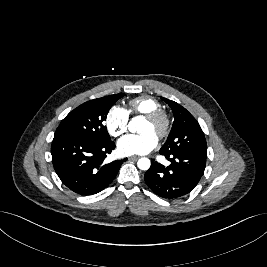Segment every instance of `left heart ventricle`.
<instances>
[{"instance_id":"left-heart-ventricle-1","label":"left heart ventricle","mask_w":267,"mask_h":267,"mask_svg":"<svg viewBox=\"0 0 267 267\" xmlns=\"http://www.w3.org/2000/svg\"><path fill=\"white\" fill-rule=\"evenodd\" d=\"M157 127L150 123L149 121L145 120L140 128L141 133H152L154 135H157Z\"/></svg>"}]
</instances>
